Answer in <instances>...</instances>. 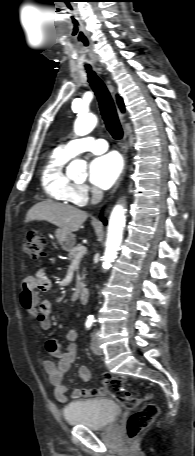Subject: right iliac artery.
<instances>
[{
	"mask_svg": "<svg viewBox=\"0 0 195 456\" xmlns=\"http://www.w3.org/2000/svg\"><path fill=\"white\" fill-rule=\"evenodd\" d=\"M92 323H93V320L92 319H88L85 323V326L87 329H90L91 326H92Z\"/></svg>",
	"mask_w": 195,
	"mask_h": 456,
	"instance_id": "right-iliac-artery-1",
	"label": "right iliac artery"
}]
</instances>
